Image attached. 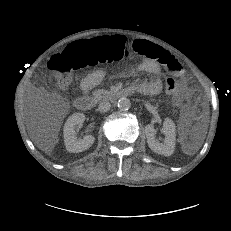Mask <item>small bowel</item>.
<instances>
[{
  "label": "small bowel",
  "instance_id": "small-bowel-1",
  "mask_svg": "<svg viewBox=\"0 0 231 231\" xmlns=\"http://www.w3.org/2000/svg\"><path fill=\"white\" fill-rule=\"evenodd\" d=\"M131 50L142 57L135 65V70L143 72L150 77L148 82H140L133 86L139 93L144 95H157L162 90L160 79L161 66L176 76L183 77V67L180 62L159 45L144 39H136L130 44ZM164 58V61L161 60ZM104 78V72L95 70L86 75L80 82V89L88 93Z\"/></svg>",
  "mask_w": 231,
  "mask_h": 231
}]
</instances>
